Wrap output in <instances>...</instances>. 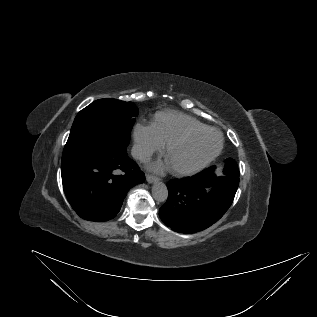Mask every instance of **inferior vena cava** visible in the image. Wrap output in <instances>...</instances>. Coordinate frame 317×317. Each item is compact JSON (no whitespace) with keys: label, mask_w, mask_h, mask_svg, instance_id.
Here are the masks:
<instances>
[{"label":"inferior vena cava","mask_w":317,"mask_h":317,"mask_svg":"<svg viewBox=\"0 0 317 317\" xmlns=\"http://www.w3.org/2000/svg\"><path fill=\"white\" fill-rule=\"evenodd\" d=\"M131 155L133 156V158L142 161L148 160L150 158V153L140 145H134L132 147Z\"/></svg>","instance_id":"602c4592"}]
</instances>
